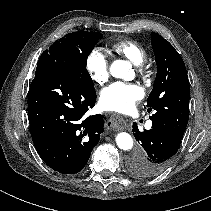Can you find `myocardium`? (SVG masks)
<instances>
[{"label": "myocardium", "mask_w": 211, "mask_h": 211, "mask_svg": "<svg viewBox=\"0 0 211 211\" xmlns=\"http://www.w3.org/2000/svg\"><path fill=\"white\" fill-rule=\"evenodd\" d=\"M140 70H142V64L139 65Z\"/></svg>", "instance_id": "1"}]
</instances>
